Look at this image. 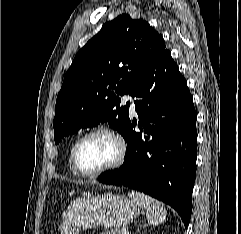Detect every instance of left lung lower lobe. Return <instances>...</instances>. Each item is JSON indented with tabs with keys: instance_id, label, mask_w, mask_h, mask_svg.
<instances>
[{
	"instance_id": "obj_1",
	"label": "left lung lower lobe",
	"mask_w": 241,
	"mask_h": 234,
	"mask_svg": "<svg viewBox=\"0 0 241 234\" xmlns=\"http://www.w3.org/2000/svg\"><path fill=\"white\" fill-rule=\"evenodd\" d=\"M133 97L139 121L128 122L124 163L98 180L169 204L187 227L196 178L197 115L187 82L167 48L144 74ZM136 124L142 132L134 131Z\"/></svg>"
}]
</instances>
